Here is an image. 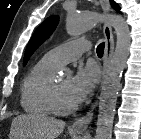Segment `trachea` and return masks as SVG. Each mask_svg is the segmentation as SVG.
Returning a JSON list of instances; mask_svg holds the SVG:
<instances>
[{
    "instance_id": "obj_1",
    "label": "trachea",
    "mask_w": 141,
    "mask_h": 139,
    "mask_svg": "<svg viewBox=\"0 0 141 139\" xmlns=\"http://www.w3.org/2000/svg\"><path fill=\"white\" fill-rule=\"evenodd\" d=\"M104 47H105V44H104V43H100V44L97 46L96 53H97V55H98L99 57H102V56H103Z\"/></svg>"
}]
</instances>
